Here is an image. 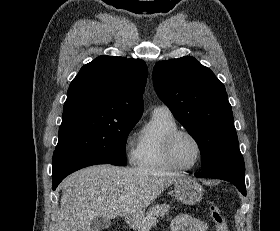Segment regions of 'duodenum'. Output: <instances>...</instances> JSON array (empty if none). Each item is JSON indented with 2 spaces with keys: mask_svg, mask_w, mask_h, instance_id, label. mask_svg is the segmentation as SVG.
<instances>
[{
  "mask_svg": "<svg viewBox=\"0 0 280 231\" xmlns=\"http://www.w3.org/2000/svg\"><path fill=\"white\" fill-rule=\"evenodd\" d=\"M132 221H133V219H131V218H127V219H126V222H127V223H131Z\"/></svg>",
  "mask_w": 280,
  "mask_h": 231,
  "instance_id": "1",
  "label": "duodenum"
}]
</instances>
